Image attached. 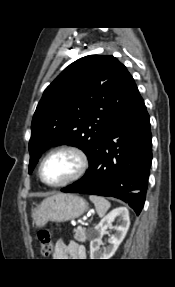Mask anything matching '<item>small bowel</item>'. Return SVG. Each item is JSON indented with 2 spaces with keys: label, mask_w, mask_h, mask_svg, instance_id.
I'll use <instances>...</instances> for the list:
<instances>
[{
  "label": "small bowel",
  "mask_w": 175,
  "mask_h": 287,
  "mask_svg": "<svg viewBox=\"0 0 175 287\" xmlns=\"http://www.w3.org/2000/svg\"><path fill=\"white\" fill-rule=\"evenodd\" d=\"M54 256L57 259L70 257L74 260H83L86 258V249L74 242L66 243L64 239L60 238L56 243Z\"/></svg>",
  "instance_id": "small-bowel-1"
}]
</instances>
